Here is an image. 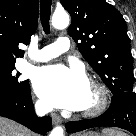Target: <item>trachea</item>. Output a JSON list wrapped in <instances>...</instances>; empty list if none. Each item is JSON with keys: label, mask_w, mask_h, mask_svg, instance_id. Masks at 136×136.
I'll list each match as a JSON object with an SVG mask.
<instances>
[{"label": "trachea", "mask_w": 136, "mask_h": 136, "mask_svg": "<svg viewBox=\"0 0 136 136\" xmlns=\"http://www.w3.org/2000/svg\"><path fill=\"white\" fill-rule=\"evenodd\" d=\"M50 14H51V0H41L40 5V20L43 30L46 34L50 33Z\"/></svg>", "instance_id": "1"}]
</instances>
